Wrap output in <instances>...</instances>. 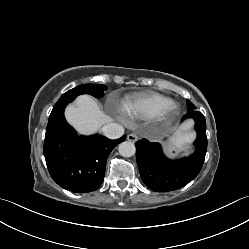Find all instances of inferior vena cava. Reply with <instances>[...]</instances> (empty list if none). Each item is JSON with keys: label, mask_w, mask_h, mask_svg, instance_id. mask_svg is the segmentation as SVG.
I'll return each instance as SVG.
<instances>
[{"label": "inferior vena cava", "mask_w": 249, "mask_h": 249, "mask_svg": "<svg viewBox=\"0 0 249 249\" xmlns=\"http://www.w3.org/2000/svg\"><path fill=\"white\" fill-rule=\"evenodd\" d=\"M104 136L110 139L120 138L124 134L123 126L116 123H109L102 127Z\"/></svg>", "instance_id": "1"}]
</instances>
